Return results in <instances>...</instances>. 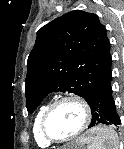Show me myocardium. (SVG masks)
Wrapping results in <instances>:
<instances>
[{
	"label": "myocardium",
	"mask_w": 124,
	"mask_h": 149,
	"mask_svg": "<svg viewBox=\"0 0 124 149\" xmlns=\"http://www.w3.org/2000/svg\"><path fill=\"white\" fill-rule=\"evenodd\" d=\"M65 102H74L76 104H78L83 111V122L80 126V128L71 136L63 138V139H56L54 137H52L47 130V121L48 118L50 116V114L52 113V111L59 105L65 103ZM91 119H92V111H91V107L89 105V103L76 95H68V96H64L61 97L57 100H55L53 103H51L47 109L45 110L42 120H41V133L43 135V137L49 142V143H53V144H62V143H66L69 141L74 140L75 138H77L78 136H80L82 133H84L86 131V129L89 127L90 123H91Z\"/></svg>",
	"instance_id": "f54148a6"
}]
</instances>
